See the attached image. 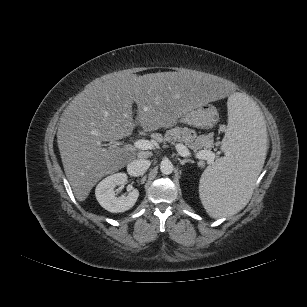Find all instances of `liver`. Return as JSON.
I'll return each instance as SVG.
<instances>
[{"label":"liver","mask_w":307,"mask_h":307,"mask_svg":"<svg viewBox=\"0 0 307 307\" xmlns=\"http://www.w3.org/2000/svg\"><path fill=\"white\" fill-rule=\"evenodd\" d=\"M230 94L224 84L193 71L117 73L95 79L64 110L57 131L64 171L76 199L86 200L102 177L135 159L136 153L127 148L102 147L104 141L132 134L134 102L141 127L155 131L171 126L199 104L216 103Z\"/></svg>","instance_id":"1"}]
</instances>
